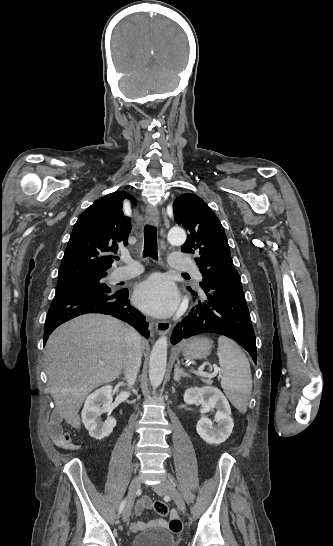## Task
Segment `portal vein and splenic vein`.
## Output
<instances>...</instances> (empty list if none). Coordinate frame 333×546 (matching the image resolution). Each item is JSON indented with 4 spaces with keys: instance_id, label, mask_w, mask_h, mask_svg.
Wrapping results in <instances>:
<instances>
[{
    "instance_id": "portal-vein-and-splenic-vein-1",
    "label": "portal vein and splenic vein",
    "mask_w": 333,
    "mask_h": 546,
    "mask_svg": "<svg viewBox=\"0 0 333 546\" xmlns=\"http://www.w3.org/2000/svg\"><path fill=\"white\" fill-rule=\"evenodd\" d=\"M101 364H103L104 362L103 361H100ZM218 371H219V368L217 366H214V372L212 374H208L206 372H203V371H198V372H195L194 373L197 375V376H214L216 374H218Z\"/></svg>"
}]
</instances>
